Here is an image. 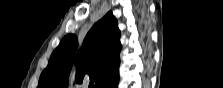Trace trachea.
<instances>
[{"mask_svg":"<svg viewBox=\"0 0 223 88\" xmlns=\"http://www.w3.org/2000/svg\"><path fill=\"white\" fill-rule=\"evenodd\" d=\"M93 87V82H90L89 83V88H92Z\"/></svg>","mask_w":223,"mask_h":88,"instance_id":"1","label":"trachea"}]
</instances>
